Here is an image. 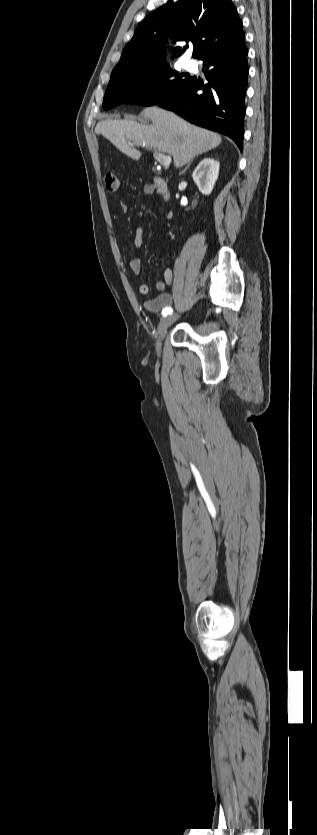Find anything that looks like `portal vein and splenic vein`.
Here are the masks:
<instances>
[{
  "label": "portal vein and splenic vein",
  "instance_id": "18ae733b",
  "mask_svg": "<svg viewBox=\"0 0 317 835\" xmlns=\"http://www.w3.org/2000/svg\"><path fill=\"white\" fill-rule=\"evenodd\" d=\"M132 144H135L134 142ZM154 158L159 161L162 166H168L171 163V156L170 155H163L160 152H154Z\"/></svg>",
  "mask_w": 317,
  "mask_h": 835
}]
</instances>
